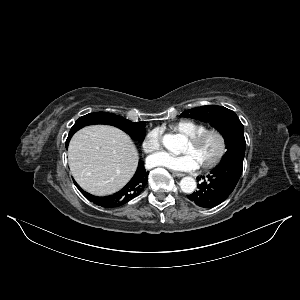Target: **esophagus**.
<instances>
[{"label": "esophagus", "instance_id": "esophagus-1", "mask_svg": "<svg viewBox=\"0 0 300 300\" xmlns=\"http://www.w3.org/2000/svg\"><path fill=\"white\" fill-rule=\"evenodd\" d=\"M172 174H173L174 176H176V177H183V176H185L184 173L176 172V171H173Z\"/></svg>", "mask_w": 300, "mask_h": 300}]
</instances>
